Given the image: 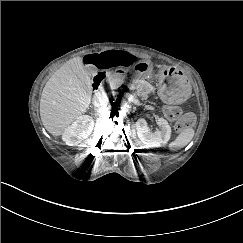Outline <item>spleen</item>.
<instances>
[{"label": "spleen", "mask_w": 243, "mask_h": 243, "mask_svg": "<svg viewBox=\"0 0 243 243\" xmlns=\"http://www.w3.org/2000/svg\"><path fill=\"white\" fill-rule=\"evenodd\" d=\"M195 130L191 127L182 130L176 138L168 145L170 151H176L177 149L187 146L194 138Z\"/></svg>", "instance_id": "3e777b00"}]
</instances>
